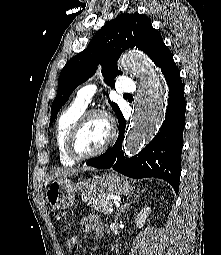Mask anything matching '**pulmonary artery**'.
<instances>
[{
	"mask_svg": "<svg viewBox=\"0 0 221 255\" xmlns=\"http://www.w3.org/2000/svg\"><path fill=\"white\" fill-rule=\"evenodd\" d=\"M116 84L117 91L119 93L131 95L136 92V85L134 81L127 78L126 76L118 77ZM96 91L97 86L94 83L84 85L83 87L77 90L74 97V103L82 107H87L91 102L93 96L95 95Z\"/></svg>",
	"mask_w": 221,
	"mask_h": 255,
	"instance_id": "obj_1",
	"label": "pulmonary artery"
}]
</instances>
